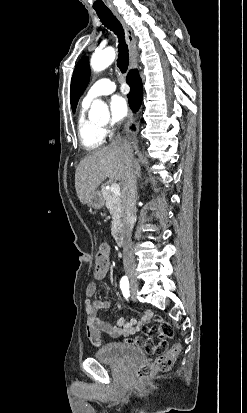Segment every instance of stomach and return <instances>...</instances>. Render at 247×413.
<instances>
[{"mask_svg": "<svg viewBox=\"0 0 247 413\" xmlns=\"http://www.w3.org/2000/svg\"><path fill=\"white\" fill-rule=\"evenodd\" d=\"M86 202L91 209H102L105 204L104 196H102L99 190H94L89 198H87Z\"/></svg>", "mask_w": 247, "mask_h": 413, "instance_id": "obj_1", "label": "stomach"}]
</instances>
